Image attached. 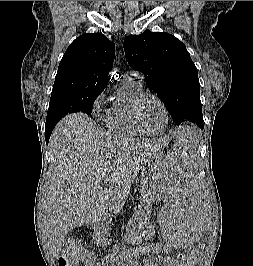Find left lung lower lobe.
<instances>
[{
  "label": "left lung lower lobe",
  "mask_w": 253,
  "mask_h": 266,
  "mask_svg": "<svg viewBox=\"0 0 253 266\" xmlns=\"http://www.w3.org/2000/svg\"><path fill=\"white\" fill-rule=\"evenodd\" d=\"M199 127H200L201 129H203V128H204V125L202 124V125H200Z\"/></svg>",
  "instance_id": "left-lung-lower-lobe-1"
}]
</instances>
